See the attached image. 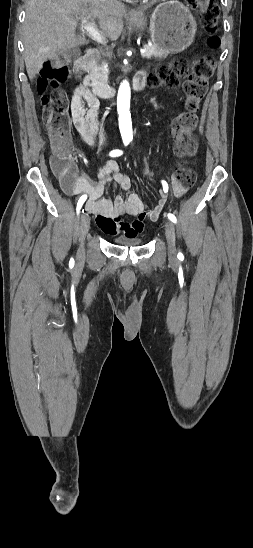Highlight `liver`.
Listing matches in <instances>:
<instances>
[{
    "label": "liver",
    "mask_w": 253,
    "mask_h": 548,
    "mask_svg": "<svg viewBox=\"0 0 253 548\" xmlns=\"http://www.w3.org/2000/svg\"><path fill=\"white\" fill-rule=\"evenodd\" d=\"M78 15L97 18L103 38L115 41L121 35L127 11L118 0H28L23 42L30 80L48 59L89 43L84 37L76 36Z\"/></svg>",
    "instance_id": "1"
}]
</instances>
